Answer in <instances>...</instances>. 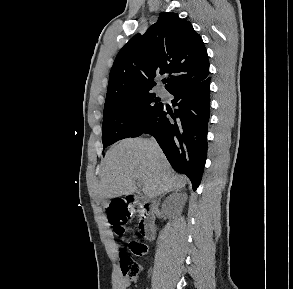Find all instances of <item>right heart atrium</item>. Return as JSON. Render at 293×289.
<instances>
[{
	"label": "right heart atrium",
	"instance_id": "obj_1",
	"mask_svg": "<svg viewBox=\"0 0 293 289\" xmlns=\"http://www.w3.org/2000/svg\"><path fill=\"white\" fill-rule=\"evenodd\" d=\"M133 113H134V115H135L136 118H140L141 115H142V110H141L140 107H136V108L134 109Z\"/></svg>",
	"mask_w": 293,
	"mask_h": 289
}]
</instances>
